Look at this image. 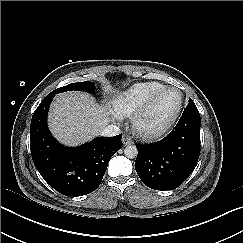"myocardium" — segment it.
<instances>
[{"label": "myocardium", "mask_w": 243, "mask_h": 243, "mask_svg": "<svg viewBox=\"0 0 243 243\" xmlns=\"http://www.w3.org/2000/svg\"><path fill=\"white\" fill-rule=\"evenodd\" d=\"M169 90H176L180 94V102L178 105V108L176 112L173 114V116L166 121L164 124L155 127V128H144L142 126L143 118L146 116V114L149 112L151 107L154 105L156 100L166 91ZM184 105V93L181 89L175 86H165L158 91H156L154 94L150 96V98L132 115L131 117V126L133 131L142 139L144 140H152L161 137L164 135L168 130H170L173 125L178 120L182 108Z\"/></svg>", "instance_id": "f54148a6"}]
</instances>
